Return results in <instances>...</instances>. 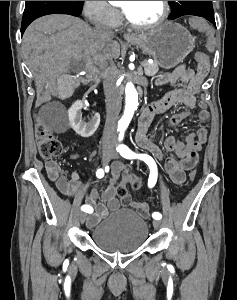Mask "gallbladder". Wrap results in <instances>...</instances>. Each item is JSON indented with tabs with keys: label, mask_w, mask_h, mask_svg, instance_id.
<instances>
[{
	"label": "gallbladder",
	"mask_w": 237,
	"mask_h": 300,
	"mask_svg": "<svg viewBox=\"0 0 237 300\" xmlns=\"http://www.w3.org/2000/svg\"><path fill=\"white\" fill-rule=\"evenodd\" d=\"M73 80V76H67L65 72L60 74L59 82L57 83V92L59 94L60 101H67L70 97V94H74L75 84Z\"/></svg>",
	"instance_id": "bac80fb5"
}]
</instances>
